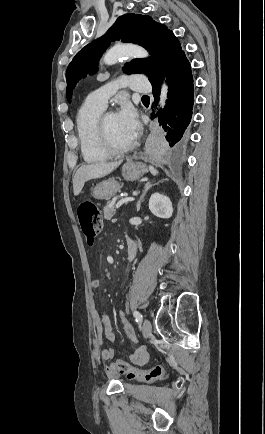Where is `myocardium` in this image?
<instances>
[{"label": "myocardium", "instance_id": "myocardium-1", "mask_svg": "<svg viewBox=\"0 0 265 434\" xmlns=\"http://www.w3.org/2000/svg\"><path fill=\"white\" fill-rule=\"evenodd\" d=\"M112 114H115V113L114 112H106L100 118L99 128H100L102 146H103L105 152L109 156H113V157L125 156V155L131 153L132 151H134V149L137 146V143L134 142L132 145H130L129 147H126V148H118V147L113 145L111 138H110V131H109V127H108V118Z\"/></svg>", "mask_w": 265, "mask_h": 434}]
</instances>
